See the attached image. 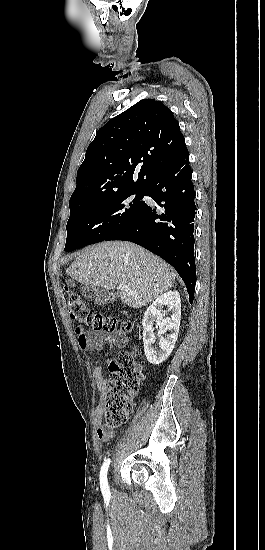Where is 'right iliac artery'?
<instances>
[{
	"instance_id": "82829eb1",
	"label": "right iliac artery",
	"mask_w": 265,
	"mask_h": 550,
	"mask_svg": "<svg viewBox=\"0 0 265 550\" xmlns=\"http://www.w3.org/2000/svg\"><path fill=\"white\" fill-rule=\"evenodd\" d=\"M109 464H110V459L105 460L100 471V487L104 495H108L110 493L108 482H107V471H108Z\"/></svg>"
}]
</instances>
